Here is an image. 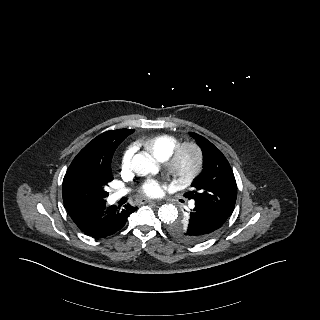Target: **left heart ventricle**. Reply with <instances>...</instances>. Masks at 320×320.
Masks as SVG:
<instances>
[{"label": "left heart ventricle", "instance_id": "b2bd125f", "mask_svg": "<svg viewBox=\"0 0 320 320\" xmlns=\"http://www.w3.org/2000/svg\"><path fill=\"white\" fill-rule=\"evenodd\" d=\"M192 156L190 154H187L183 160V167L185 169H188L192 165Z\"/></svg>", "mask_w": 320, "mask_h": 320}]
</instances>
